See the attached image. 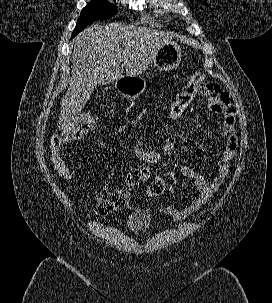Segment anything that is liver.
Returning a JSON list of instances; mask_svg holds the SVG:
<instances>
[{"label":"liver","instance_id":"obj_1","mask_svg":"<svg viewBox=\"0 0 272 303\" xmlns=\"http://www.w3.org/2000/svg\"><path fill=\"white\" fill-rule=\"evenodd\" d=\"M172 36L137 25H92L73 40L72 71L62 99L59 129L64 134L79 130V115L96 85L136 77L154 62L158 50Z\"/></svg>","mask_w":272,"mask_h":303}]
</instances>
